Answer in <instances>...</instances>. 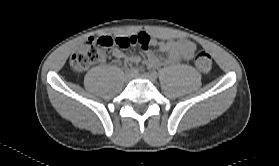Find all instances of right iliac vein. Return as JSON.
I'll return each mask as SVG.
<instances>
[{
    "instance_id": "1",
    "label": "right iliac vein",
    "mask_w": 279,
    "mask_h": 166,
    "mask_svg": "<svg viewBox=\"0 0 279 166\" xmlns=\"http://www.w3.org/2000/svg\"><path fill=\"white\" fill-rule=\"evenodd\" d=\"M134 74L130 71H127L124 76V81L129 82L133 78Z\"/></svg>"
}]
</instances>
